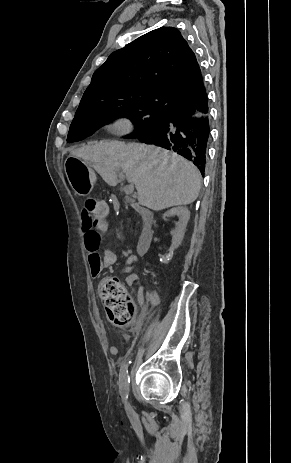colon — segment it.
<instances>
[{"label":"colon","instance_id":"1","mask_svg":"<svg viewBox=\"0 0 291 463\" xmlns=\"http://www.w3.org/2000/svg\"><path fill=\"white\" fill-rule=\"evenodd\" d=\"M109 210L103 200L87 199L82 207L84 229H95L97 217H108ZM99 296L109 319L118 326L129 325L135 315L134 303L121 281L108 276L99 284Z\"/></svg>","mask_w":291,"mask_h":463}]
</instances>
